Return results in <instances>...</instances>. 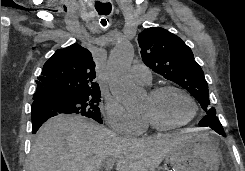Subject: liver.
<instances>
[{"label": "liver", "instance_id": "6515ba94", "mask_svg": "<svg viewBox=\"0 0 245 171\" xmlns=\"http://www.w3.org/2000/svg\"><path fill=\"white\" fill-rule=\"evenodd\" d=\"M187 135L159 134L123 138L76 115H59L38 131L31 148L29 171H99L117 161V171H155Z\"/></svg>", "mask_w": 245, "mask_h": 171}]
</instances>
